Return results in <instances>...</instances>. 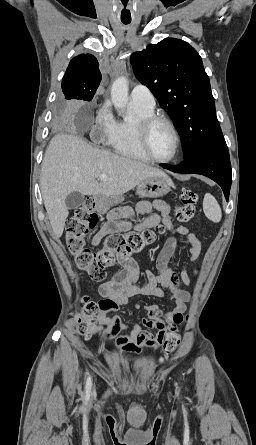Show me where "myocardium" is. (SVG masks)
<instances>
[{
    "label": "myocardium",
    "instance_id": "myocardium-1",
    "mask_svg": "<svg viewBox=\"0 0 256 445\" xmlns=\"http://www.w3.org/2000/svg\"><path fill=\"white\" fill-rule=\"evenodd\" d=\"M157 123L166 124L171 129L175 138L174 152L169 158L166 159L156 157L150 147V131ZM135 128L140 147L149 160L156 163L167 164L174 161L178 157L181 149V137L177 127L169 118L159 115H151L149 117L140 118L136 121Z\"/></svg>",
    "mask_w": 256,
    "mask_h": 445
}]
</instances>
